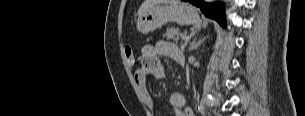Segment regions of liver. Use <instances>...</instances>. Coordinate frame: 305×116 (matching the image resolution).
<instances>
[{
	"mask_svg": "<svg viewBox=\"0 0 305 116\" xmlns=\"http://www.w3.org/2000/svg\"><path fill=\"white\" fill-rule=\"evenodd\" d=\"M179 0H145L138 10V16L140 17L149 7L159 4H177Z\"/></svg>",
	"mask_w": 305,
	"mask_h": 116,
	"instance_id": "liver-1",
	"label": "liver"
}]
</instances>
